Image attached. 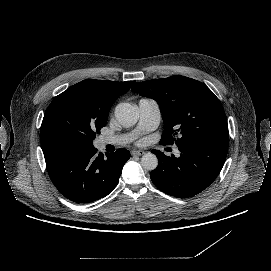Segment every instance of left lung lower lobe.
Listing matches in <instances>:
<instances>
[{
    "label": "left lung lower lobe",
    "instance_id": "0a47b994",
    "mask_svg": "<svg viewBox=\"0 0 271 271\" xmlns=\"http://www.w3.org/2000/svg\"><path fill=\"white\" fill-rule=\"evenodd\" d=\"M176 158L158 150V166L150 174L162 192L179 198L192 197L206 189L220 173L228 151V141L201 139L195 145H179Z\"/></svg>",
    "mask_w": 271,
    "mask_h": 271
}]
</instances>
